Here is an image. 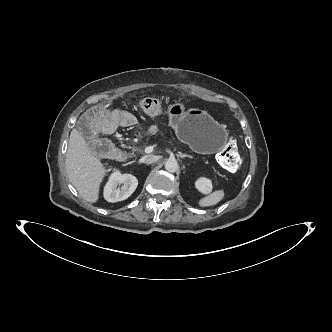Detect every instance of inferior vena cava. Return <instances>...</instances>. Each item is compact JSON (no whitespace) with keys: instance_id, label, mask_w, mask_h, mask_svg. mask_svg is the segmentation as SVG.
<instances>
[{"instance_id":"inferior-vena-cava-1","label":"inferior vena cava","mask_w":332,"mask_h":332,"mask_svg":"<svg viewBox=\"0 0 332 332\" xmlns=\"http://www.w3.org/2000/svg\"><path fill=\"white\" fill-rule=\"evenodd\" d=\"M158 159H159V157L155 156V155H145L142 158V161L146 164H152V163H155Z\"/></svg>"}]
</instances>
